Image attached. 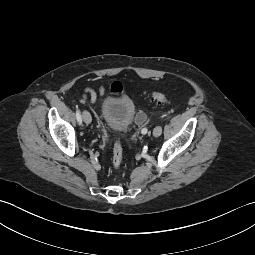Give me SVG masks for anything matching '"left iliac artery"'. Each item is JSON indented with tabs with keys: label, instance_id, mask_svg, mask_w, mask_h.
I'll return each instance as SVG.
<instances>
[{
	"label": "left iliac artery",
	"instance_id": "44dca946",
	"mask_svg": "<svg viewBox=\"0 0 255 255\" xmlns=\"http://www.w3.org/2000/svg\"><path fill=\"white\" fill-rule=\"evenodd\" d=\"M164 116H166V115H164ZM163 117V116H162ZM147 132V127H144L142 130H141V133L142 134H145Z\"/></svg>",
	"mask_w": 255,
	"mask_h": 255
}]
</instances>
